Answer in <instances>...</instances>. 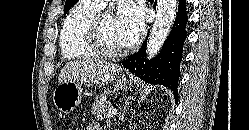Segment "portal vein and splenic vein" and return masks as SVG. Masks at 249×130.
Returning a JSON list of instances; mask_svg holds the SVG:
<instances>
[{
    "instance_id": "1",
    "label": "portal vein and splenic vein",
    "mask_w": 249,
    "mask_h": 130,
    "mask_svg": "<svg viewBox=\"0 0 249 130\" xmlns=\"http://www.w3.org/2000/svg\"><path fill=\"white\" fill-rule=\"evenodd\" d=\"M116 114H117V109H110V110L107 112L106 116H107L108 118H110V117L115 116Z\"/></svg>"
}]
</instances>
